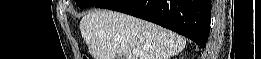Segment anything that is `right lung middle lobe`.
<instances>
[{
  "instance_id": "obj_1",
  "label": "right lung middle lobe",
  "mask_w": 261,
  "mask_h": 59,
  "mask_svg": "<svg viewBox=\"0 0 261 59\" xmlns=\"http://www.w3.org/2000/svg\"><path fill=\"white\" fill-rule=\"evenodd\" d=\"M103 0H76V5L80 8H87L97 5Z\"/></svg>"
}]
</instances>
